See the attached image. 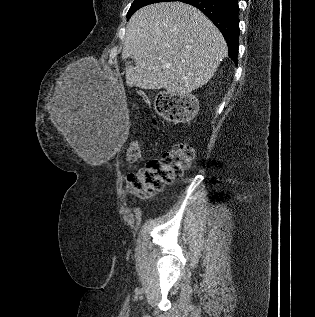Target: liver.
<instances>
[{"mask_svg": "<svg viewBox=\"0 0 315 317\" xmlns=\"http://www.w3.org/2000/svg\"><path fill=\"white\" fill-rule=\"evenodd\" d=\"M228 54L220 31L198 9L181 2L157 3L130 18L122 50L127 86L166 89L187 96L205 85ZM127 59H132L135 65ZM51 120L81 157L83 122L73 90L55 89Z\"/></svg>", "mask_w": 315, "mask_h": 317, "instance_id": "1", "label": "liver"}]
</instances>
